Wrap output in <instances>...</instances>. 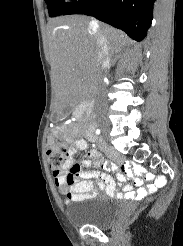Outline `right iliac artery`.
I'll return each mask as SVG.
<instances>
[{"mask_svg": "<svg viewBox=\"0 0 183 246\" xmlns=\"http://www.w3.org/2000/svg\"><path fill=\"white\" fill-rule=\"evenodd\" d=\"M96 134H100V130L99 129L96 130Z\"/></svg>", "mask_w": 183, "mask_h": 246, "instance_id": "82829eb1", "label": "right iliac artery"}]
</instances>
